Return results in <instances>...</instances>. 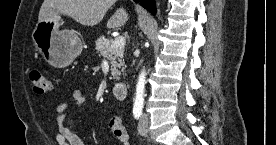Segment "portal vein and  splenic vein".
Listing matches in <instances>:
<instances>
[{
	"instance_id": "18ae733b",
	"label": "portal vein and splenic vein",
	"mask_w": 276,
	"mask_h": 145,
	"mask_svg": "<svg viewBox=\"0 0 276 145\" xmlns=\"http://www.w3.org/2000/svg\"><path fill=\"white\" fill-rule=\"evenodd\" d=\"M125 45V38L122 36L115 37L112 41L111 47L112 48H121Z\"/></svg>"
}]
</instances>
